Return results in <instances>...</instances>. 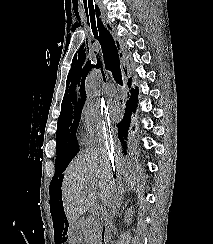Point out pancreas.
<instances>
[{
	"mask_svg": "<svg viewBox=\"0 0 213 244\" xmlns=\"http://www.w3.org/2000/svg\"><path fill=\"white\" fill-rule=\"evenodd\" d=\"M82 232L87 242H94L95 244H97L101 233L99 220L94 217L86 221L83 224Z\"/></svg>",
	"mask_w": 213,
	"mask_h": 244,
	"instance_id": "obj_1",
	"label": "pancreas"
}]
</instances>
